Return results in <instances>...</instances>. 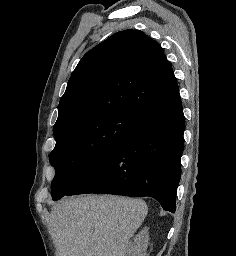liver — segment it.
<instances>
[{"mask_svg": "<svg viewBox=\"0 0 236 256\" xmlns=\"http://www.w3.org/2000/svg\"><path fill=\"white\" fill-rule=\"evenodd\" d=\"M144 200L83 194L53 206L56 256H127L129 240L144 222Z\"/></svg>", "mask_w": 236, "mask_h": 256, "instance_id": "1", "label": "liver"}]
</instances>
